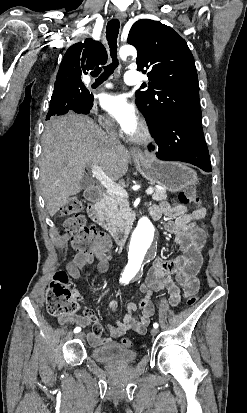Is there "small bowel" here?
Listing matches in <instances>:
<instances>
[{"mask_svg": "<svg viewBox=\"0 0 247 413\" xmlns=\"http://www.w3.org/2000/svg\"><path fill=\"white\" fill-rule=\"evenodd\" d=\"M165 214L170 218L167 230L177 237L182 250V255L172 260L157 258L147 271L139 290L145 297L137 304L131 302L127 305L122 320H117L115 324H109L108 330L110 338L104 339L101 336L102 329L95 327L87 334V341L93 347L107 344L109 349H116L118 343L116 339L122 337L127 331L137 334H145L150 318L154 314V305L151 301L153 293H159L167 289L169 293V304L175 307L180 302V286L185 287L183 297L185 299H195L197 290L200 287L198 280H190L195 277L202 264V249L206 242L204 226L198 223L203 219L205 210L202 207L190 209L188 205L177 203L171 205L167 202L150 206V216L157 220ZM107 251H96L93 253L78 252L74 258L66 264V269L74 280H79L82 269L96 263L98 272L104 273L108 270ZM173 276L175 278H173ZM75 298L84 303L82 296L73 291ZM118 304L115 300L108 303V310L115 312ZM140 309L141 314H134ZM96 320V312L84 305L83 315H62L58 317L61 325L73 324L84 328Z\"/></svg>", "mask_w": 247, "mask_h": 413, "instance_id": "1", "label": "small bowel"}]
</instances>
